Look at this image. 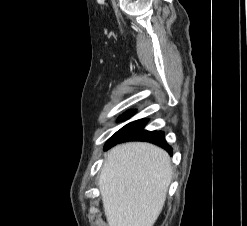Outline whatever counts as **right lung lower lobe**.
Instances as JSON below:
<instances>
[{
	"mask_svg": "<svg viewBox=\"0 0 247 226\" xmlns=\"http://www.w3.org/2000/svg\"><path fill=\"white\" fill-rule=\"evenodd\" d=\"M135 111L130 110L126 112L120 120L128 119ZM147 119H140L131 122L117 131L106 143L105 150L114 146L115 144L124 141H147L154 143L164 149H166L170 154H172V148L166 143L164 139V133L161 131H146L144 126L147 123Z\"/></svg>",
	"mask_w": 247,
	"mask_h": 226,
	"instance_id": "obj_1",
	"label": "right lung lower lobe"
}]
</instances>
